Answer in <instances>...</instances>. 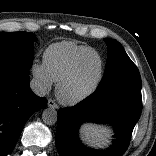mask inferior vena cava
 I'll list each match as a JSON object with an SVG mask.
<instances>
[{
    "label": "inferior vena cava",
    "mask_w": 156,
    "mask_h": 156,
    "mask_svg": "<svg viewBox=\"0 0 156 156\" xmlns=\"http://www.w3.org/2000/svg\"><path fill=\"white\" fill-rule=\"evenodd\" d=\"M30 88L38 96H45L46 95L47 88H46L45 84L38 79L33 78L30 81Z\"/></svg>",
    "instance_id": "1"
}]
</instances>
